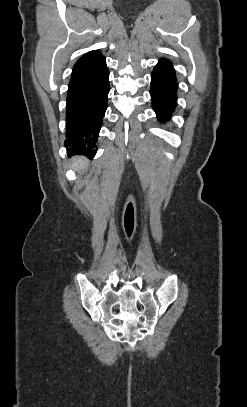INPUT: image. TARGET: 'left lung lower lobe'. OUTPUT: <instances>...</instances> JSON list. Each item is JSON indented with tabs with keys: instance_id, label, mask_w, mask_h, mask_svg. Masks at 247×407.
<instances>
[{
	"instance_id": "1",
	"label": "left lung lower lobe",
	"mask_w": 247,
	"mask_h": 407,
	"mask_svg": "<svg viewBox=\"0 0 247 407\" xmlns=\"http://www.w3.org/2000/svg\"><path fill=\"white\" fill-rule=\"evenodd\" d=\"M177 79L172 63L167 59H160L151 75L152 106L158 121L166 122L170 119L177 100Z\"/></svg>"
}]
</instances>
